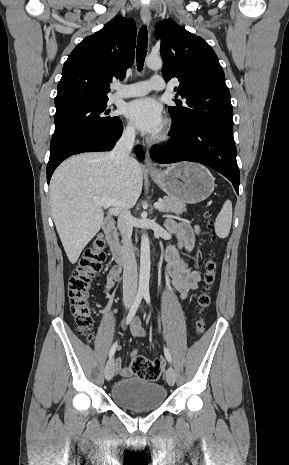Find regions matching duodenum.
I'll use <instances>...</instances> for the list:
<instances>
[{"mask_svg": "<svg viewBox=\"0 0 289 465\" xmlns=\"http://www.w3.org/2000/svg\"><path fill=\"white\" fill-rule=\"evenodd\" d=\"M105 239L108 244L110 254L115 262L120 265H125L128 262V252L120 245L117 237L115 223L111 218H108L104 224Z\"/></svg>", "mask_w": 289, "mask_h": 465, "instance_id": "1", "label": "duodenum"}]
</instances>
